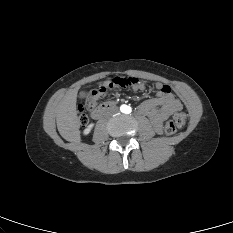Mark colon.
Returning <instances> with one entry per match:
<instances>
[{
    "mask_svg": "<svg viewBox=\"0 0 233 233\" xmlns=\"http://www.w3.org/2000/svg\"><path fill=\"white\" fill-rule=\"evenodd\" d=\"M137 82L136 78H122V77H116L111 81H108L98 87L97 89H94L92 91L88 92V99L84 105H81L79 107V120L82 124L87 123V116L85 114V109L87 108H93L96 102L103 97H105L109 91V89L113 87H126V86H132ZM187 121V116L184 112H178L173 115V117L167 121L165 124V133L168 135L174 134L177 130L182 128Z\"/></svg>",
    "mask_w": 233,
    "mask_h": 233,
    "instance_id": "obj_1",
    "label": "colon"
}]
</instances>
